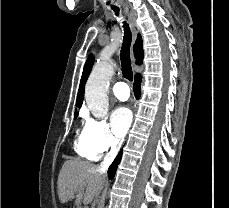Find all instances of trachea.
Returning <instances> with one entry per match:
<instances>
[{
  "instance_id": "obj_1",
  "label": "trachea",
  "mask_w": 229,
  "mask_h": 208,
  "mask_svg": "<svg viewBox=\"0 0 229 208\" xmlns=\"http://www.w3.org/2000/svg\"><path fill=\"white\" fill-rule=\"evenodd\" d=\"M112 10L115 12L116 15L119 14L118 7H112ZM123 28H124V37H123V43L120 51L121 70L124 78H126V80L132 81L133 71L131 67V58H130V46H131L132 35H131L129 25L127 23H124Z\"/></svg>"
}]
</instances>
